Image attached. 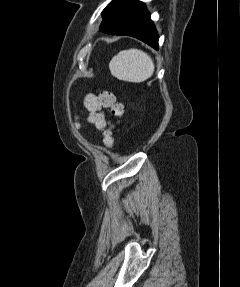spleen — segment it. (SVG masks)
<instances>
[{
  "label": "spleen",
  "instance_id": "spleen-1",
  "mask_svg": "<svg viewBox=\"0 0 240 287\" xmlns=\"http://www.w3.org/2000/svg\"><path fill=\"white\" fill-rule=\"evenodd\" d=\"M109 69L119 80L140 83L153 75L155 66L152 58L144 51L128 49L112 58Z\"/></svg>",
  "mask_w": 240,
  "mask_h": 287
}]
</instances>
